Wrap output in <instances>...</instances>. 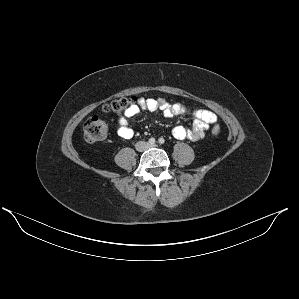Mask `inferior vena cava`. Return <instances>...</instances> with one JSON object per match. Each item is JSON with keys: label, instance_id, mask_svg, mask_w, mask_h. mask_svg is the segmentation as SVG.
<instances>
[{"label": "inferior vena cava", "instance_id": "obj_1", "mask_svg": "<svg viewBox=\"0 0 299 299\" xmlns=\"http://www.w3.org/2000/svg\"><path fill=\"white\" fill-rule=\"evenodd\" d=\"M136 148H137V150L142 151V150H145L146 148H148V144L145 142H139V143H137Z\"/></svg>", "mask_w": 299, "mask_h": 299}]
</instances>
